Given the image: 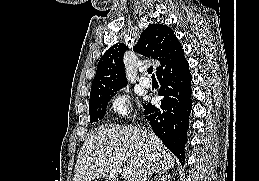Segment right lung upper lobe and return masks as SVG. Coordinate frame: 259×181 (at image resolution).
<instances>
[{"label":"right lung upper lobe","mask_w":259,"mask_h":181,"mask_svg":"<svg viewBox=\"0 0 259 181\" xmlns=\"http://www.w3.org/2000/svg\"><path fill=\"white\" fill-rule=\"evenodd\" d=\"M128 47L115 44L100 58L92 82L90 98L99 94L121 89L127 85L123 56ZM133 50L146 57L157 59L161 66L156 74L183 49L172 29L166 25L149 24L142 32Z\"/></svg>","instance_id":"right-lung-upper-lobe-1"}]
</instances>
